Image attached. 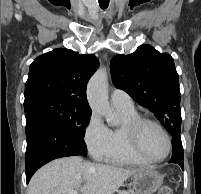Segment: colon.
Returning a JSON list of instances; mask_svg holds the SVG:
<instances>
[{"label": "colon", "instance_id": "colon-1", "mask_svg": "<svg viewBox=\"0 0 201 194\" xmlns=\"http://www.w3.org/2000/svg\"><path fill=\"white\" fill-rule=\"evenodd\" d=\"M157 194H172V190L168 185H162Z\"/></svg>", "mask_w": 201, "mask_h": 194}]
</instances>
